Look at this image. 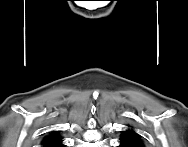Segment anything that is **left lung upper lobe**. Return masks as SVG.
<instances>
[{
  "instance_id": "1",
  "label": "left lung upper lobe",
  "mask_w": 188,
  "mask_h": 147,
  "mask_svg": "<svg viewBox=\"0 0 188 147\" xmlns=\"http://www.w3.org/2000/svg\"><path fill=\"white\" fill-rule=\"evenodd\" d=\"M120 146L122 147H144L141 136L133 129H127L122 132L120 138Z\"/></svg>"
}]
</instances>
